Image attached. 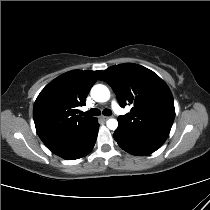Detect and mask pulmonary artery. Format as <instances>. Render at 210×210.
<instances>
[{"mask_svg": "<svg viewBox=\"0 0 210 210\" xmlns=\"http://www.w3.org/2000/svg\"><path fill=\"white\" fill-rule=\"evenodd\" d=\"M113 109L119 114L123 112L122 109L116 103H113Z\"/></svg>", "mask_w": 210, "mask_h": 210, "instance_id": "e3ab8cb5", "label": "pulmonary artery"}]
</instances>
